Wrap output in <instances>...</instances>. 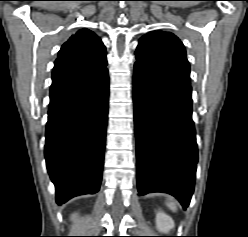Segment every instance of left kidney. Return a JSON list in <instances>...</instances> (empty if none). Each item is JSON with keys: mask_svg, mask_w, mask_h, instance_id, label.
Returning <instances> with one entry per match:
<instances>
[{"mask_svg": "<svg viewBox=\"0 0 248 237\" xmlns=\"http://www.w3.org/2000/svg\"><path fill=\"white\" fill-rule=\"evenodd\" d=\"M156 227L160 232L167 233L175 227L173 219L164 212H157Z\"/></svg>", "mask_w": 248, "mask_h": 237, "instance_id": "obj_1", "label": "left kidney"}]
</instances>
